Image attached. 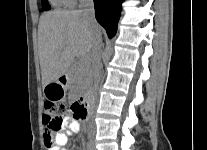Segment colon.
Instances as JSON below:
<instances>
[{"label":"colon","mask_w":207,"mask_h":150,"mask_svg":"<svg viewBox=\"0 0 207 150\" xmlns=\"http://www.w3.org/2000/svg\"><path fill=\"white\" fill-rule=\"evenodd\" d=\"M73 112L76 117L81 116L73 107ZM67 119V107L64 103L48 100L44 104L43 124L45 133L42 134L43 138H47L46 145H50V137L52 133L60 131Z\"/></svg>","instance_id":"1"}]
</instances>
